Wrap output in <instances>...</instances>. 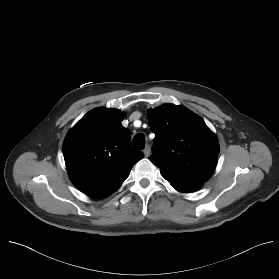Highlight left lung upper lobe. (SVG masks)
I'll return each mask as SVG.
<instances>
[{
	"label": "left lung upper lobe",
	"mask_w": 279,
	"mask_h": 279,
	"mask_svg": "<svg viewBox=\"0 0 279 279\" xmlns=\"http://www.w3.org/2000/svg\"><path fill=\"white\" fill-rule=\"evenodd\" d=\"M155 133L151 161L160 171L207 181L217 164L219 144L215 134L196 114L182 106L164 104L148 112Z\"/></svg>",
	"instance_id": "1"
}]
</instances>
